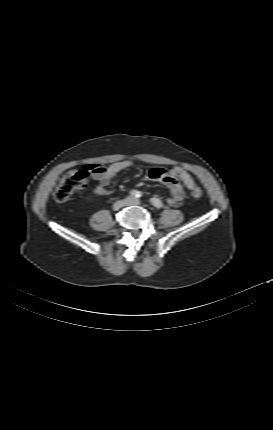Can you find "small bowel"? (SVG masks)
I'll return each instance as SVG.
<instances>
[{
  "label": "small bowel",
  "mask_w": 273,
  "mask_h": 430,
  "mask_svg": "<svg viewBox=\"0 0 273 430\" xmlns=\"http://www.w3.org/2000/svg\"><path fill=\"white\" fill-rule=\"evenodd\" d=\"M133 165L134 162L132 160H122L108 166L96 162L93 165L86 164L84 166V173L86 175L92 174V178L98 181L95 194L97 196H104L112 191L108 188L111 179L119 172L133 167ZM147 178L161 182L169 188L170 196L167 199V203L171 205L183 200L185 195L184 187L189 190L196 188L195 180L182 167H174L170 170L166 168H152L147 173Z\"/></svg>",
  "instance_id": "small-bowel-1"
}]
</instances>
